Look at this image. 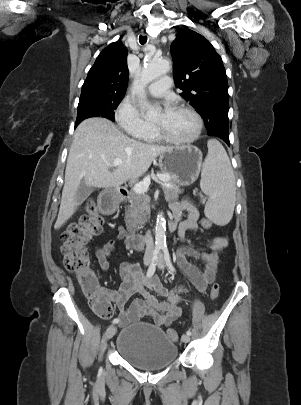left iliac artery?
I'll return each instance as SVG.
<instances>
[{"mask_svg":"<svg viewBox=\"0 0 301 405\" xmlns=\"http://www.w3.org/2000/svg\"><path fill=\"white\" fill-rule=\"evenodd\" d=\"M162 251H163L164 260H165L167 267L169 268L171 273H175V268L171 262L168 248L166 246H164V247H162ZM186 334L191 335L190 330H188L186 332Z\"/></svg>","mask_w":301,"mask_h":405,"instance_id":"1","label":"left iliac artery"}]
</instances>
